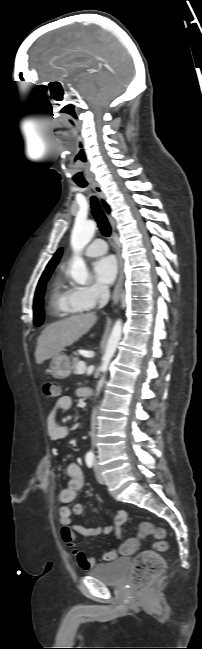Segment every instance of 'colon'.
Instances as JSON below:
<instances>
[{"label":"colon","mask_w":202,"mask_h":649,"mask_svg":"<svg viewBox=\"0 0 202 649\" xmlns=\"http://www.w3.org/2000/svg\"><path fill=\"white\" fill-rule=\"evenodd\" d=\"M43 392L46 397L58 398L61 394V387L55 381H48L43 385ZM150 536L156 539L153 549L139 553L132 565L130 577L133 586L138 590L146 589L164 570V561L160 552L165 551L168 546L166 532L163 528L155 527L148 521H142L137 526L135 538L122 546L124 553L133 552L138 540Z\"/></svg>","instance_id":"1"}]
</instances>
